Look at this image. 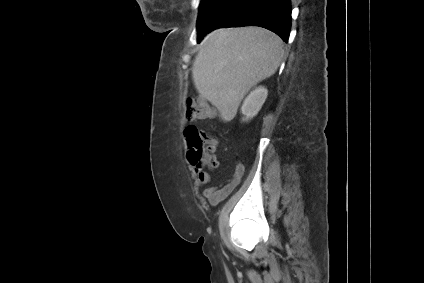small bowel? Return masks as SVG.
<instances>
[{
  "label": "small bowel",
  "instance_id": "1",
  "mask_svg": "<svg viewBox=\"0 0 424 283\" xmlns=\"http://www.w3.org/2000/svg\"><path fill=\"white\" fill-rule=\"evenodd\" d=\"M190 164L192 167V171L195 175V180L197 185L207 186L202 191V195L212 205H217L218 203L226 199L234 191V189L239 185L245 172V167L243 163L240 160H238L236 163L235 171L233 175L230 177V179L219 187H213V186H209L211 182V177H210V174L205 170L204 164L192 163V162H190Z\"/></svg>",
  "mask_w": 424,
  "mask_h": 283
}]
</instances>
